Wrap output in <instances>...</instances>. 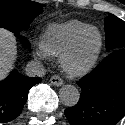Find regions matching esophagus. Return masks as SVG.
Wrapping results in <instances>:
<instances>
[{
  "label": "esophagus",
  "mask_w": 125,
  "mask_h": 125,
  "mask_svg": "<svg viewBox=\"0 0 125 125\" xmlns=\"http://www.w3.org/2000/svg\"><path fill=\"white\" fill-rule=\"evenodd\" d=\"M50 82L55 86L63 85V79L57 75L52 76Z\"/></svg>",
  "instance_id": "obj_1"
}]
</instances>
